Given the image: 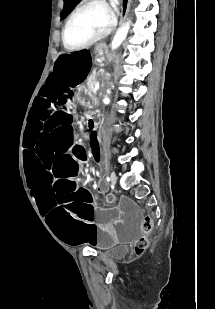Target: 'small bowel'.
<instances>
[{"instance_id": "obj_1", "label": "small bowel", "mask_w": 215, "mask_h": 309, "mask_svg": "<svg viewBox=\"0 0 215 309\" xmlns=\"http://www.w3.org/2000/svg\"><path fill=\"white\" fill-rule=\"evenodd\" d=\"M88 127H89L90 130H93V129H94L93 127H90V126H88ZM95 134H96V133H95ZM91 140H92V142H93L94 147H95L97 150H99V149H100V146H99V143H98V140H97L96 135H92V136H91ZM99 184H100V185H99V191H103V190H104V186L101 185V183H99Z\"/></svg>"}]
</instances>
